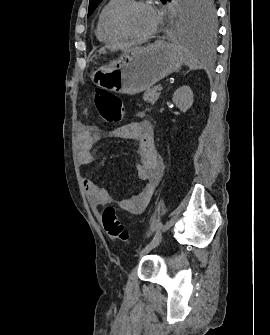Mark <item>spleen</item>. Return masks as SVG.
I'll use <instances>...</instances> for the list:
<instances>
[{"label": "spleen", "instance_id": "1", "mask_svg": "<svg viewBox=\"0 0 270 335\" xmlns=\"http://www.w3.org/2000/svg\"><path fill=\"white\" fill-rule=\"evenodd\" d=\"M184 54L189 68H191V70H195L199 64L196 56V50H189V48H186V50H184Z\"/></svg>", "mask_w": 270, "mask_h": 335}]
</instances>
